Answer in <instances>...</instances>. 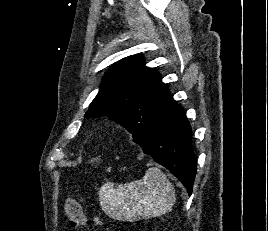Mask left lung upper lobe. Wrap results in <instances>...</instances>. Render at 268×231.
<instances>
[{
    "label": "left lung upper lobe",
    "mask_w": 268,
    "mask_h": 231,
    "mask_svg": "<svg viewBox=\"0 0 268 231\" xmlns=\"http://www.w3.org/2000/svg\"><path fill=\"white\" fill-rule=\"evenodd\" d=\"M176 104L160 74L129 56L106 73L85 117L107 115L125 127L135 142L145 138Z\"/></svg>",
    "instance_id": "5c2ea615"
}]
</instances>
